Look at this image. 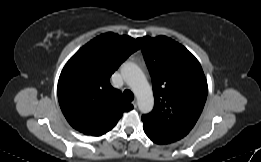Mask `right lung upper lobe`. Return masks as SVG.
I'll list each match as a JSON object with an SVG mask.
<instances>
[{"mask_svg":"<svg viewBox=\"0 0 261 162\" xmlns=\"http://www.w3.org/2000/svg\"><path fill=\"white\" fill-rule=\"evenodd\" d=\"M139 49L126 35L102 34L82 48L64 66L58 81V100L69 124L85 135L111 130L133 105L110 84V76Z\"/></svg>","mask_w":261,"mask_h":162,"instance_id":"cb5924a9","label":"right lung upper lobe"}]
</instances>
